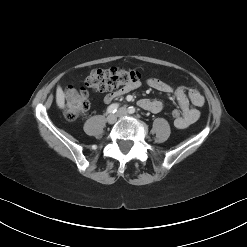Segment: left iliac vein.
Wrapping results in <instances>:
<instances>
[{"label": "left iliac vein", "mask_w": 247, "mask_h": 247, "mask_svg": "<svg viewBox=\"0 0 247 247\" xmlns=\"http://www.w3.org/2000/svg\"><path fill=\"white\" fill-rule=\"evenodd\" d=\"M127 114V110L125 108H120L117 115L118 117H124Z\"/></svg>", "instance_id": "obj_1"}]
</instances>
